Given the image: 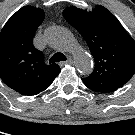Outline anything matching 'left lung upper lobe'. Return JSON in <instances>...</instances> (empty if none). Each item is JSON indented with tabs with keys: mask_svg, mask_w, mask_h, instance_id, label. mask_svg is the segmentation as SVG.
Here are the masks:
<instances>
[{
	"mask_svg": "<svg viewBox=\"0 0 135 135\" xmlns=\"http://www.w3.org/2000/svg\"><path fill=\"white\" fill-rule=\"evenodd\" d=\"M63 16L84 37L95 61L84 84L103 93L126 84L135 73V41L118 19L100 5L91 12L71 6Z\"/></svg>",
	"mask_w": 135,
	"mask_h": 135,
	"instance_id": "obj_1",
	"label": "left lung upper lobe"
}]
</instances>
